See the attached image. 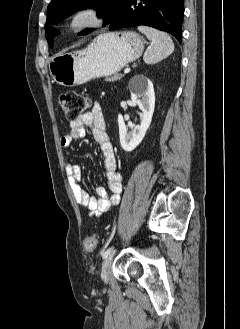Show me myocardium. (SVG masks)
<instances>
[{
  "instance_id": "f54148a6",
  "label": "myocardium",
  "mask_w": 240,
  "mask_h": 329,
  "mask_svg": "<svg viewBox=\"0 0 240 329\" xmlns=\"http://www.w3.org/2000/svg\"><path fill=\"white\" fill-rule=\"evenodd\" d=\"M104 18L102 11L95 5L85 4L74 8L64 22L65 30L70 33H80L102 26Z\"/></svg>"
}]
</instances>
